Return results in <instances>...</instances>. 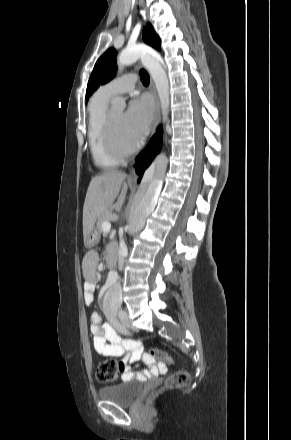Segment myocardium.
<instances>
[{
	"label": "myocardium",
	"instance_id": "myocardium-1",
	"mask_svg": "<svg viewBox=\"0 0 291 440\" xmlns=\"http://www.w3.org/2000/svg\"><path fill=\"white\" fill-rule=\"evenodd\" d=\"M103 136L108 152L118 160H124L128 158L138 148L137 143H134L128 147H121L117 144L114 137L111 113H108L105 117L103 125Z\"/></svg>",
	"mask_w": 291,
	"mask_h": 440
}]
</instances>
